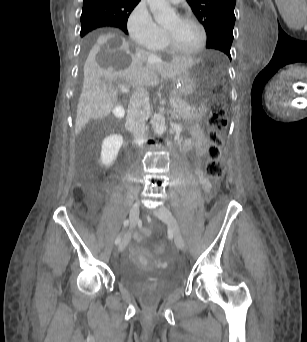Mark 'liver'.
I'll list each match as a JSON object with an SVG mask.
<instances>
[{
    "label": "liver",
    "instance_id": "1",
    "mask_svg": "<svg viewBox=\"0 0 307 342\" xmlns=\"http://www.w3.org/2000/svg\"><path fill=\"white\" fill-rule=\"evenodd\" d=\"M115 34H103L97 38L84 64L82 94L77 106L75 134H80L89 120L110 116L115 108L117 92L112 82L126 80L133 88L158 84V76L175 80L196 64L194 58L173 56L171 62H163L160 56L145 52L138 44H128L125 38L113 40Z\"/></svg>",
    "mask_w": 307,
    "mask_h": 342
}]
</instances>
